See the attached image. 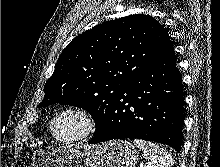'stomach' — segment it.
I'll list each match as a JSON object with an SVG mask.
<instances>
[{
    "label": "stomach",
    "mask_w": 220,
    "mask_h": 167,
    "mask_svg": "<svg viewBox=\"0 0 220 167\" xmlns=\"http://www.w3.org/2000/svg\"><path fill=\"white\" fill-rule=\"evenodd\" d=\"M138 153L128 141L115 140L88 147H67L48 153L37 150L31 167H136Z\"/></svg>",
    "instance_id": "1"
}]
</instances>
